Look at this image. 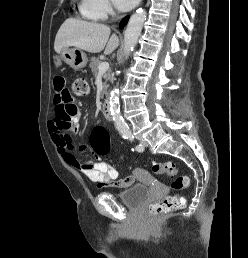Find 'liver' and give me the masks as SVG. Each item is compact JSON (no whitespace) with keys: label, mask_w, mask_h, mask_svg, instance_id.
<instances>
[{"label":"liver","mask_w":248,"mask_h":258,"mask_svg":"<svg viewBox=\"0 0 248 258\" xmlns=\"http://www.w3.org/2000/svg\"><path fill=\"white\" fill-rule=\"evenodd\" d=\"M110 28L104 24L69 18L64 21L57 32L54 49L57 54L66 47H75L89 53L111 54L119 45L118 37L110 38Z\"/></svg>","instance_id":"obj_1"}]
</instances>
